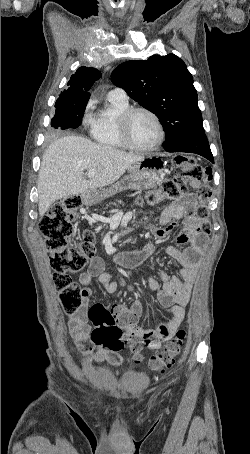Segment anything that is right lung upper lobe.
Listing matches in <instances>:
<instances>
[{
  "mask_svg": "<svg viewBox=\"0 0 250 454\" xmlns=\"http://www.w3.org/2000/svg\"><path fill=\"white\" fill-rule=\"evenodd\" d=\"M101 77V72L92 67L82 66L71 76L67 83L69 86L60 93L57 102L77 103L88 102L90 93L88 92L93 83Z\"/></svg>",
  "mask_w": 250,
  "mask_h": 454,
  "instance_id": "1",
  "label": "right lung upper lobe"
}]
</instances>
